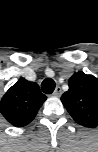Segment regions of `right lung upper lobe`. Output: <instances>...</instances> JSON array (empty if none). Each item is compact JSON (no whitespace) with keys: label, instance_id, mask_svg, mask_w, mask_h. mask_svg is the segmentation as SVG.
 I'll use <instances>...</instances> for the list:
<instances>
[{"label":"right lung upper lobe","instance_id":"cb5924a9","mask_svg":"<svg viewBox=\"0 0 98 152\" xmlns=\"http://www.w3.org/2000/svg\"><path fill=\"white\" fill-rule=\"evenodd\" d=\"M47 97L35 82L20 78L0 101V112L15 127L29 124Z\"/></svg>","mask_w":98,"mask_h":152}]
</instances>
